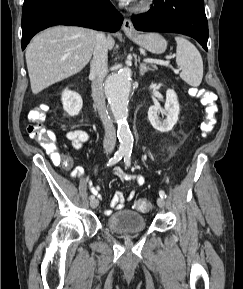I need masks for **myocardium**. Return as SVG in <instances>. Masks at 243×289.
Masks as SVG:
<instances>
[{
  "instance_id": "myocardium-1",
  "label": "myocardium",
  "mask_w": 243,
  "mask_h": 289,
  "mask_svg": "<svg viewBox=\"0 0 243 289\" xmlns=\"http://www.w3.org/2000/svg\"><path fill=\"white\" fill-rule=\"evenodd\" d=\"M154 0H139L136 5V10L138 11H146L151 8Z\"/></svg>"
}]
</instances>
